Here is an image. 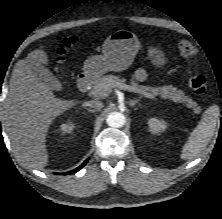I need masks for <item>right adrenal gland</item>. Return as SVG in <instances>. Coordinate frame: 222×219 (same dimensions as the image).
Returning a JSON list of instances; mask_svg holds the SVG:
<instances>
[{"label":"right adrenal gland","instance_id":"right-adrenal-gland-1","mask_svg":"<svg viewBox=\"0 0 222 219\" xmlns=\"http://www.w3.org/2000/svg\"><path fill=\"white\" fill-rule=\"evenodd\" d=\"M88 112H91V113H94V112H96L97 110H92V109H90V108H85Z\"/></svg>","mask_w":222,"mask_h":219}]
</instances>
